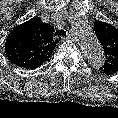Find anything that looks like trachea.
Wrapping results in <instances>:
<instances>
[{
    "label": "trachea",
    "mask_w": 118,
    "mask_h": 118,
    "mask_svg": "<svg viewBox=\"0 0 118 118\" xmlns=\"http://www.w3.org/2000/svg\"><path fill=\"white\" fill-rule=\"evenodd\" d=\"M55 36H66V31L58 30L55 32Z\"/></svg>",
    "instance_id": "trachea-1"
}]
</instances>
